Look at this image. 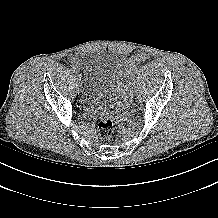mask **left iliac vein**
<instances>
[{
	"mask_svg": "<svg viewBox=\"0 0 218 218\" xmlns=\"http://www.w3.org/2000/svg\"><path fill=\"white\" fill-rule=\"evenodd\" d=\"M127 93H128L129 96H130L128 99L131 101V100L133 99V98H132L133 94H132V92H131L130 90H129Z\"/></svg>",
	"mask_w": 218,
	"mask_h": 218,
	"instance_id": "4c4485c4",
	"label": "left iliac vein"
}]
</instances>
